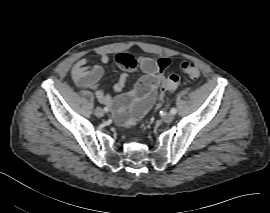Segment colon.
Instances as JSON below:
<instances>
[{"label": "colon", "instance_id": "1", "mask_svg": "<svg viewBox=\"0 0 270 213\" xmlns=\"http://www.w3.org/2000/svg\"><path fill=\"white\" fill-rule=\"evenodd\" d=\"M128 62L132 66L134 65V60L128 57ZM182 71L190 78L197 79L200 76L199 67L191 61H181L178 63ZM179 83V78L177 75H171L167 78L166 82L162 87V93L164 91H174Z\"/></svg>", "mask_w": 270, "mask_h": 213}]
</instances>
